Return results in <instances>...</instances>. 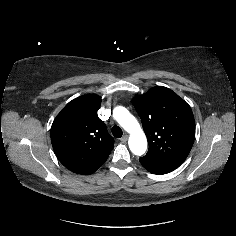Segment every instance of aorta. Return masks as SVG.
Wrapping results in <instances>:
<instances>
[{
  "instance_id": "obj_1",
  "label": "aorta",
  "mask_w": 236,
  "mask_h": 236,
  "mask_svg": "<svg viewBox=\"0 0 236 236\" xmlns=\"http://www.w3.org/2000/svg\"><path fill=\"white\" fill-rule=\"evenodd\" d=\"M113 116L123 129L130 134L128 144L131 152L137 156L143 155L147 149V139L137 119L122 106L114 108Z\"/></svg>"
}]
</instances>
